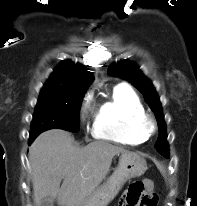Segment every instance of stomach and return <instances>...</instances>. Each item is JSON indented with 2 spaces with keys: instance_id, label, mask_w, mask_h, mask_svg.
<instances>
[{
  "instance_id": "1",
  "label": "stomach",
  "mask_w": 197,
  "mask_h": 206,
  "mask_svg": "<svg viewBox=\"0 0 197 206\" xmlns=\"http://www.w3.org/2000/svg\"><path fill=\"white\" fill-rule=\"evenodd\" d=\"M146 169V161L140 155L131 152L121 153L119 165L114 173L77 206H107L129 179L143 175Z\"/></svg>"
}]
</instances>
